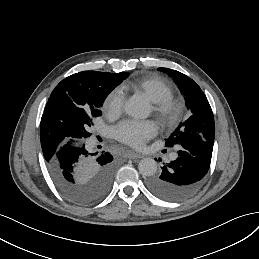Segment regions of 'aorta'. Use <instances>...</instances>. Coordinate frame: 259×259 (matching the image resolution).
Here are the masks:
<instances>
[{
    "label": "aorta",
    "instance_id": "1",
    "mask_svg": "<svg viewBox=\"0 0 259 259\" xmlns=\"http://www.w3.org/2000/svg\"><path fill=\"white\" fill-rule=\"evenodd\" d=\"M124 111L134 118L144 117L147 113L145 103L137 98L132 97L124 104ZM138 170L142 176H153L157 171V162L153 158H144L138 164Z\"/></svg>",
    "mask_w": 259,
    "mask_h": 259
}]
</instances>
